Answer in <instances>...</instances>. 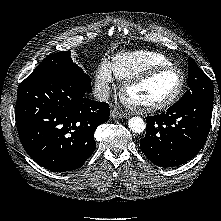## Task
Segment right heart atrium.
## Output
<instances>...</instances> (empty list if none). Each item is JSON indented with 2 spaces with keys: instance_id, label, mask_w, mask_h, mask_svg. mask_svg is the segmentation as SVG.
Masks as SVG:
<instances>
[{
  "instance_id": "obj_1",
  "label": "right heart atrium",
  "mask_w": 221,
  "mask_h": 221,
  "mask_svg": "<svg viewBox=\"0 0 221 221\" xmlns=\"http://www.w3.org/2000/svg\"><path fill=\"white\" fill-rule=\"evenodd\" d=\"M113 81V72L110 63L101 62L95 71V87L101 97H106Z\"/></svg>"
}]
</instances>
